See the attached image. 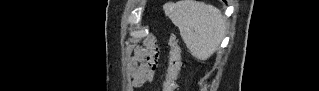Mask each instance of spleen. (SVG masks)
<instances>
[{
	"mask_svg": "<svg viewBox=\"0 0 319 91\" xmlns=\"http://www.w3.org/2000/svg\"><path fill=\"white\" fill-rule=\"evenodd\" d=\"M164 11L178 27L193 57L205 61L217 51L226 30V21L219 9L195 0H180L166 3Z\"/></svg>",
	"mask_w": 319,
	"mask_h": 91,
	"instance_id": "obj_1",
	"label": "spleen"
}]
</instances>
